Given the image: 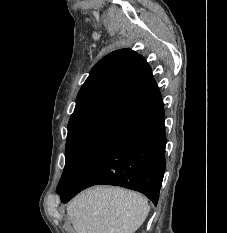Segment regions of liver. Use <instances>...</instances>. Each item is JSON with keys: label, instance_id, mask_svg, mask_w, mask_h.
Instances as JSON below:
<instances>
[{"label": "liver", "instance_id": "obj_1", "mask_svg": "<svg viewBox=\"0 0 227 233\" xmlns=\"http://www.w3.org/2000/svg\"><path fill=\"white\" fill-rule=\"evenodd\" d=\"M149 211L144 196L119 187L88 189L67 206L76 233H134Z\"/></svg>", "mask_w": 227, "mask_h": 233}]
</instances>
